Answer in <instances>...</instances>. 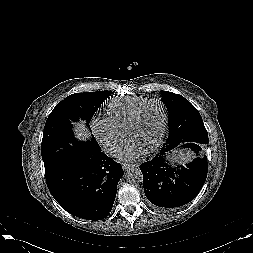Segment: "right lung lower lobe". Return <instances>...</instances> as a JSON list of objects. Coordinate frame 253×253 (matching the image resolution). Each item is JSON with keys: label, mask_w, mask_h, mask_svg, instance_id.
I'll return each instance as SVG.
<instances>
[{"label": "right lung lower lobe", "mask_w": 253, "mask_h": 253, "mask_svg": "<svg viewBox=\"0 0 253 253\" xmlns=\"http://www.w3.org/2000/svg\"><path fill=\"white\" fill-rule=\"evenodd\" d=\"M45 174L50 193L67 212L96 221L110 214L124 172L99 148L77 161L45 169Z\"/></svg>", "instance_id": "1"}]
</instances>
